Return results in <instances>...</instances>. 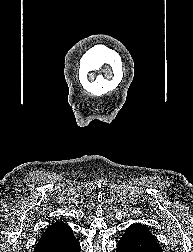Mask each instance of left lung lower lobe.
I'll list each match as a JSON object with an SVG mask.
<instances>
[{
  "label": "left lung lower lobe",
  "instance_id": "left-lung-lower-lobe-1",
  "mask_svg": "<svg viewBox=\"0 0 193 252\" xmlns=\"http://www.w3.org/2000/svg\"><path fill=\"white\" fill-rule=\"evenodd\" d=\"M117 252H162L146 226L136 223L128 227L117 244Z\"/></svg>",
  "mask_w": 193,
  "mask_h": 252
}]
</instances>
